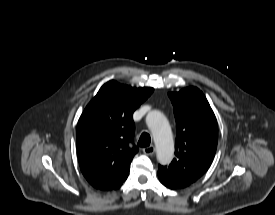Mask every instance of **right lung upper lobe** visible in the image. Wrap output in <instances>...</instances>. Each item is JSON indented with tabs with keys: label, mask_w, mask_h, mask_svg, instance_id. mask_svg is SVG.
Wrapping results in <instances>:
<instances>
[{
	"label": "right lung upper lobe",
	"mask_w": 275,
	"mask_h": 215,
	"mask_svg": "<svg viewBox=\"0 0 275 215\" xmlns=\"http://www.w3.org/2000/svg\"><path fill=\"white\" fill-rule=\"evenodd\" d=\"M153 88H132L116 81L104 84L82 113L76 130L77 153L87 181L102 190L116 189L126 180L138 148L133 112Z\"/></svg>",
	"instance_id": "cb5924a9"
}]
</instances>
